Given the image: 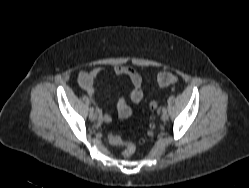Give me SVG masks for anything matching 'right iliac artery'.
Returning <instances> with one entry per match:
<instances>
[{
    "label": "right iliac artery",
    "mask_w": 249,
    "mask_h": 188,
    "mask_svg": "<svg viewBox=\"0 0 249 188\" xmlns=\"http://www.w3.org/2000/svg\"><path fill=\"white\" fill-rule=\"evenodd\" d=\"M93 112H94V108L90 107V113H93Z\"/></svg>",
    "instance_id": "82829eb1"
}]
</instances>
